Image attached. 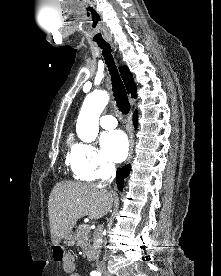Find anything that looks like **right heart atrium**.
Here are the masks:
<instances>
[{
	"mask_svg": "<svg viewBox=\"0 0 221 276\" xmlns=\"http://www.w3.org/2000/svg\"><path fill=\"white\" fill-rule=\"evenodd\" d=\"M70 164L74 175L86 181L109 176L115 169L102 152L91 143H76L70 153Z\"/></svg>",
	"mask_w": 221,
	"mask_h": 276,
	"instance_id": "obj_1",
	"label": "right heart atrium"
}]
</instances>
